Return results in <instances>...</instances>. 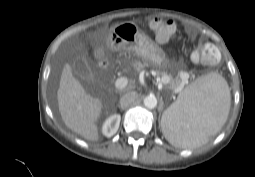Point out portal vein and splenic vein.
Wrapping results in <instances>:
<instances>
[{
	"label": "portal vein and splenic vein",
	"instance_id": "obj_1",
	"mask_svg": "<svg viewBox=\"0 0 255 177\" xmlns=\"http://www.w3.org/2000/svg\"><path fill=\"white\" fill-rule=\"evenodd\" d=\"M128 84V79L126 77H121V78H118L116 81H115V87L117 89H122V88H125ZM162 86V84H160V87ZM182 90V87H178L176 89V91H181Z\"/></svg>",
	"mask_w": 255,
	"mask_h": 177
}]
</instances>
